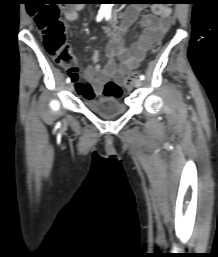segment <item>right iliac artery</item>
Returning a JSON list of instances; mask_svg holds the SVG:
<instances>
[{"instance_id": "82829eb1", "label": "right iliac artery", "mask_w": 218, "mask_h": 257, "mask_svg": "<svg viewBox=\"0 0 218 257\" xmlns=\"http://www.w3.org/2000/svg\"><path fill=\"white\" fill-rule=\"evenodd\" d=\"M104 16H105L104 12H99L98 15H97V18H96L97 22L101 21ZM70 81H71V79H70V77H68L66 79V83H70Z\"/></svg>"}]
</instances>
